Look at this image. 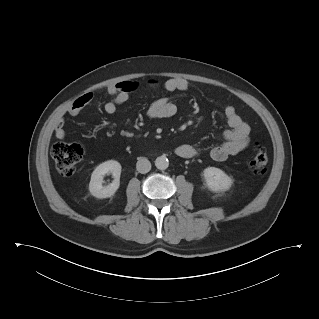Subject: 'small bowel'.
Masks as SVG:
<instances>
[{
	"label": "small bowel",
	"mask_w": 319,
	"mask_h": 319,
	"mask_svg": "<svg viewBox=\"0 0 319 319\" xmlns=\"http://www.w3.org/2000/svg\"><path fill=\"white\" fill-rule=\"evenodd\" d=\"M131 82L123 81L108 85L105 93L111 99L105 103L104 110L107 114H114L117 108L126 103L134 90H129ZM190 88L189 82L181 77L168 79L163 84V89L167 92H186ZM94 100V94L86 92L67 107V114L77 116L82 110L89 106ZM177 113L176 104L168 97H161L153 102L147 109V116L152 120L169 119ZM223 114L226 119L228 129L224 132V142L215 146L210 151V156L215 161H225L230 156L244 150L250 143V126L237 113L231 105H225ZM57 139L66 136L64 125L59 124L54 130ZM176 154L183 158H193L197 156L198 150L191 144H180L176 147Z\"/></svg>",
	"instance_id": "obj_1"
}]
</instances>
